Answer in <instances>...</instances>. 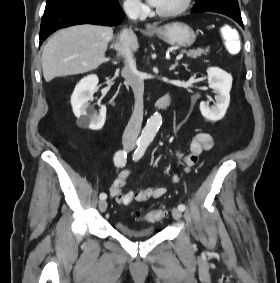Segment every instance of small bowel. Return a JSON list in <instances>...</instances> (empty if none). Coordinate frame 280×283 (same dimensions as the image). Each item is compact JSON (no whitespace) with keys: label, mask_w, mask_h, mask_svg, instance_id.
<instances>
[{"label":"small bowel","mask_w":280,"mask_h":283,"mask_svg":"<svg viewBox=\"0 0 280 283\" xmlns=\"http://www.w3.org/2000/svg\"><path fill=\"white\" fill-rule=\"evenodd\" d=\"M213 145L214 139L209 133H197L190 143L189 152L187 154H178V157L184 164V172H188L191 167L198 162L201 154L210 150ZM129 177V170L123 169L112 182L109 189L110 196L120 205L128 206L135 202L157 199L162 197L166 192L165 188L154 186L124 192L123 188L126 186ZM178 179V175L173 177L174 181H177Z\"/></svg>","instance_id":"1"}]
</instances>
